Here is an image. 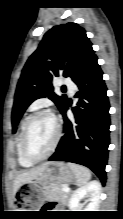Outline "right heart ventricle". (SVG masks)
I'll return each mask as SVG.
<instances>
[{
    "mask_svg": "<svg viewBox=\"0 0 123 219\" xmlns=\"http://www.w3.org/2000/svg\"><path fill=\"white\" fill-rule=\"evenodd\" d=\"M26 120L27 118L23 119L19 126V131L16 137V154H17V160L22 167H31L34 163L25 159L21 151V136Z\"/></svg>",
    "mask_w": 123,
    "mask_h": 219,
    "instance_id": "1",
    "label": "right heart ventricle"
}]
</instances>
